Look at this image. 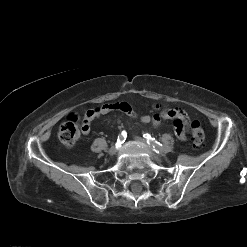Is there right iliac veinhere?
Returning a JSON list of instances; mask_svg holds the SVG:
<instances>
[{
  "mask_svg": "<svg viewBox=\"0 0 247 247\" xmlns=\"http://www.w3.org/2000/svg\"><path fill=\"white\" fill-rule=\"evenodd\" d=\"M117 152V146L113 145L110 149H109V155L113 156L115 155Z\"/></svg>",
  "mask_w": 247,
  "mask_h": 247,
  "instance_id": "63e3f726",
  "label": "right iliac vein"
}]
</instances>
